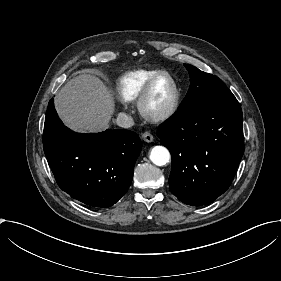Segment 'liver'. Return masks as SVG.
<instances>
[{
  "label": "liver",
  "mask_w": 281,
  "mask_h": 281,
  "mask_svg": "<svg viewBox=\"0 0 281 281\" xmlns=\"http://www.w3.org/2000/svg\"><path fill=\"white\" fill-rule=\"evenodd\" d=\"M54 106L67 128L84 134L107 130L116 110L111 88L90 73L66 82L54 96Z\"/></svg>",
  "instance_id": "6515ba94"
}]
</instances>
